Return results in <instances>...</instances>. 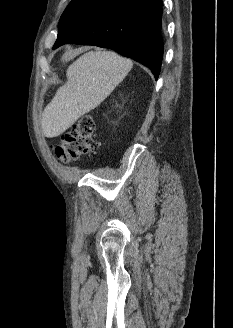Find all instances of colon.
<instances>
[{
    "instance_id": "1",
    "label": "colon",
    "mask_w": 233,
    "mask_h": 328,
    "mask_svg": "<svg viewBox=\"0 0 233 328\" xmlns=\"http://www.w3.org/2000/svg\"><path fill=\"white\" fill-rule=\"evenodd\" d=\"M94 130L92 117L79 118L69 131L62 134L60 143L55 148L57 158L68 163L93 152L96 148Z\"/></svg>"
}]
</instances>
